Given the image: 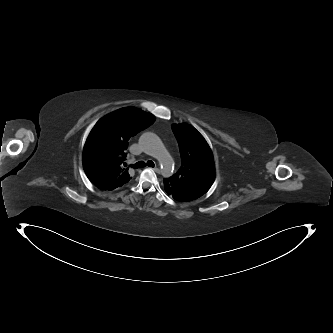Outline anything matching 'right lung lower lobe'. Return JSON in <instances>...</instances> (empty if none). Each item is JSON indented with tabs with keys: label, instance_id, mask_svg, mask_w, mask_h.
<instances>
[{
	"label": "right lung lower lobe",
	"instance_id": "1",
	"mask_svg": "<svg viewBox=\"0 0 333 333\" xmlns=\"http://www.w3.org/2000/svg\"><path fill=\"white\" fill-rule=\"evenodd\" d=\"M85 173L86 175L88 174V176L90 177V181L94 184V182L96 183V179H94L93 177H91V175L89 174V168L85 167ZM95 185V184H94ZM96 186V185H95Z\"/></svg>",
	"mask_w": 333,
	"mask_h": 333
}]
</instances>
